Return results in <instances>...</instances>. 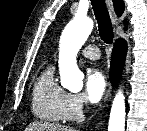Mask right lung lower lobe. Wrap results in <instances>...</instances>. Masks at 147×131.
Masks as SVG:
<instances>
[{"label":"right lung lower lobe","instance_id":"1","mask_svg":"<svg viewBox=\"0 0 147 131\" xmlns=\"http://www.w3.org/2000/svg\"><path fill=\"white\" fill-rule=\"evenodd\" d=\"M126 52V42L123 39H118L114 44L110 68V78L114 86L119 82V78L124 66Z\"/></svg>","mask_w":147,"mask_h":131}]
</instances>
